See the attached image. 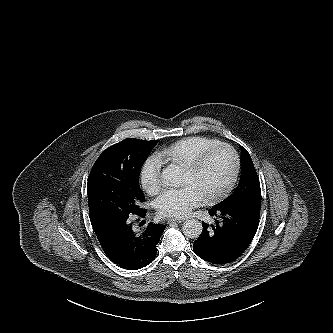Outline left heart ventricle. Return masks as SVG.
<instances>
[{
	"label": "left heart ventricle",
	"instance_id": "b2bd125f",
	"mask_svg": "<svg viewBox=\"0 0 333 333\" xmlns=\"http://www.w3.org/2000/svg\"><path fill=\"white\" fill-rule=\"evenodd\" d=\"M235 167L233 153L221 148L212 153L204 165L195 173L181 172V185L194 187L203 198L221 190L232 176Z\"/></svg>",
	"mask_w": 333,
	"mask_h": 333
}]
</instances>
